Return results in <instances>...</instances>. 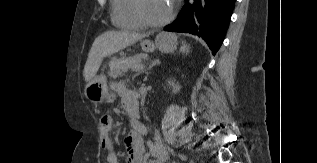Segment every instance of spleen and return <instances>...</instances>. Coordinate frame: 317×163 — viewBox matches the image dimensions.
Returning <instances> with one entry per match:
<instances>
[{
	"label": "spleen",
	"instance_id": "obj_1",
	"mask_svg": "<svg viewBox=\"0 0 317 163\" xmlns=\"http://www.w3.org/2000/svg\"><path fill=\"white\" fill-rule=\"evenodd\" d=\"M189 49H190V47H189V45H187L185 42H182V46H181V49H180V51L182 52V53H189Z\"/></svg>",
	"mask_w": 317,
	"mask_h": 163
}]
</instances>
